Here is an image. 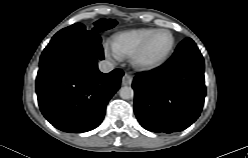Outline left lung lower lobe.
<instances>
[{
    "mask_svg": "<svg viewBox=\"0 0 248 158\" xmlns=\"http://www.w3.org/2000/svg\"><path fill=\"white\" fill-rule=\"evenodd\" d=\"M134 112L153 132L189 127L200 115L206 95L204 59L194 41L184 39L162 66L134 77Z\"/></svg>",
    "mask_w": 248,
    "mask_h": 158,
    "instance_id": "obj_1",
    "label": "left lung lower lobe"
}]
</instances>
